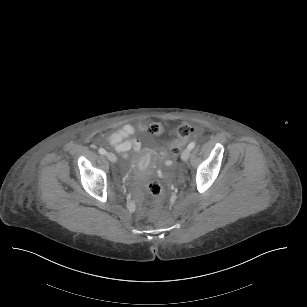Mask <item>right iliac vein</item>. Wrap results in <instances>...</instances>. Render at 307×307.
<instances>
[{
	"mask_svg": "<svg viewBox=\"0 0 307 307\" xmlns=\"http://www.w3.org/2000/svg\"><path fill=\"white\" fill-rule=\"evenodd\" d=\"M106 156H107L108 160L112 163H115L117 161L116 156L111 152L107 153Z\"/></svg>",
	"mask_w": 307,
	"mask_h": 307,
	"instance_id": "right-iliac-vein-1",
	"label": "right iliac vein"
}]
</instances>
